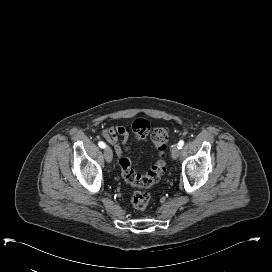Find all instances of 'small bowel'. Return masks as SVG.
Returning a JSON list of instances; mask_svg holds the SVG:
<instances>
[{
    "mask_svg": "<svg viewBox=\"0 0 272 272\" xmlns=\"http://www.w3.org/2000/svg\"><path fill=\"white\" fill-rule=\"evenodd\" d=\"M103 138L112 146H114L118 157L123 155V146L129 142V132L122 125H115L106 128L102 132Z\"/></svg>",
    "mask_w": 272,
    "mask_h": 272,
    "instance_id": "small-bowel-1",
    "label": "small bowel"
}]
</instances>
